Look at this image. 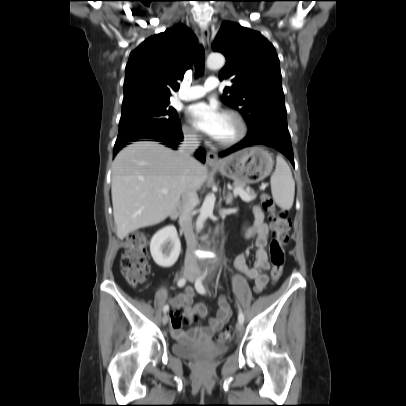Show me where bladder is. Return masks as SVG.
<instances>
[{
	"instance_id": "31cf9c89",
	"label": "bladder",
	"mask_w": 406,
	"mask_h": 406,
	"mask_svg": "<svg viewBox=\"0 0 406 406\" xmlns=\"http://www.w3.org/2000/svg\"><path fill=\"white\" fill-rule=\"evenodd\" d=\"M198 351L199 347L190 342H175L172 346L173 354L182 358H193ZM227 351L228 347L219 346L213 350V353L220 355L226 353Z\"/></svg>"
}]
</instances>
